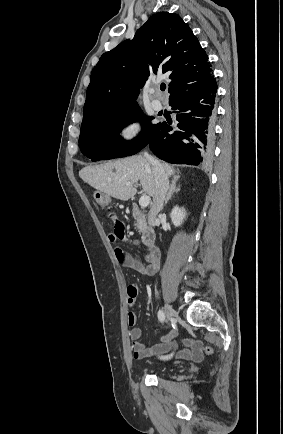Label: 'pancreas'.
Wrapping results in <instances>:
<instances>
[{
  "instance_id": "obj_1",
  "label": "pancreas",
  "mask_w": 283,
  "mask_h": 434,
  "mask_svg": "<svg viewBox=\"0 0 283 434\" xmlns=\"http://www.w3.org/2000/svg\"><path fill=\"white\" fill-rule=\"evenodd\" d=\"M136 226H137V229H138L140 232H144V229H145V222H143V221H139V222H137Z\"/></svg>"
}]
</instances>
